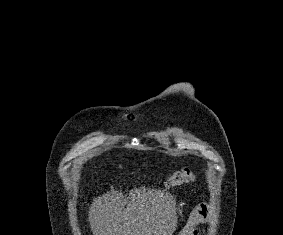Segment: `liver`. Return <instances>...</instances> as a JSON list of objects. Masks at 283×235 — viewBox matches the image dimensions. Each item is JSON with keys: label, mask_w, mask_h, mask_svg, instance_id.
<instances>
[{"label": "liver", "mask_w": 283, "mask_h": 235, "mask_svg": "<svg viewBox=\"0 0 283 235\" xmlns=\"http://www.w3.org/2000/svg\"><path fill=\"white\" fill-rule=\"evenodd\" d=\"M89 222L93 235H172L175 200L151 188L132 189L129 196L112 189L94 200Z\"/></svg>", "instance_id": "6515ba94"}]
</instances>
